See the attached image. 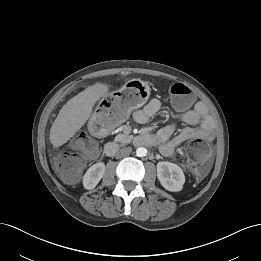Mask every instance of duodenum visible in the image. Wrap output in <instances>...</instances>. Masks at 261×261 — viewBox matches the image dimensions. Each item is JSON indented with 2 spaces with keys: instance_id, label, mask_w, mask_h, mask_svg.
I'll list each match as a JSON object with an SVG mask.
<instances>
[{
  "instance_id": "duodenum-1",
  "label": "duodenum",
  "mask_w": 261,
  "mask_h": 261,
  "mask_svg": "<svg viewBox=\"0 0 261 261\" xmlns=\"http://www.w3.org/2000/svg\"><path fill=\"white\" fill-rule=\"evenodd\" d=\"M133 142L137 146H152L155 143V139L149 134L141 133L134 137ZM117 150L118 145L115 142H108L104 147L106 156H113Z\"/></svg>"
}]
</instances>
